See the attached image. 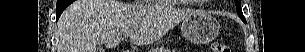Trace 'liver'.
Returning <instances> with one entry per match:
<instances>
[{
	"instance_id": "obj_1",
	"label": "liver",
	"mask_w": 305,
	"mask_h": 52,
	"mask_svg": "<svg viewBox=\"0 0 305 52\" xmlns=\"http://www.w3.org/2000/svg\"><path fill=\"white\" fill-rule=\"evenodd\" d=\"M192 13L164 1L131 5L116 0H77L59 19L58 52H98L101 44L115 48L125 34L132 44L149 45Z\"/></svg>"
}]
</instances>
